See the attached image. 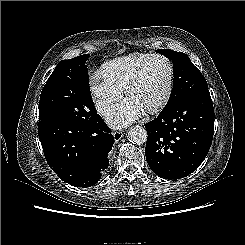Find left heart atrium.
I'll return each instance as SVG.
<instances>
[{
    "mask_svg": "<svg viewBox=\"0 0 245 245\" xmlns=\"http://www.w3.org/2000/svg\"><path fill=\"white\" fill-rule=\"evenodd\" d=\"M145 109L130 98H126L122 103L113 107L107 113V121L115 128L125 127L139 119Z\"/></svg>",
    "mask_w": 245,
    "mask_h": 245,
    "instance_id": "obj_1",
    "label": "left heart atrium"
}]
</instances>
